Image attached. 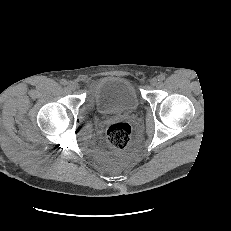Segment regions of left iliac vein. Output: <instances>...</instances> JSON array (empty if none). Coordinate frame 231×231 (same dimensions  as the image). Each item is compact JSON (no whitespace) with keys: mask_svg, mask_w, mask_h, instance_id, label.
Returning <instances> with one entry per match:
<instances>
[{"mask_svg":"<svg viewBox=\"0 0 231 231\" xmlns=\"http://www.w3.org/2000/svg\"><path fill=\"white\" fill-rule=\"evenodd\" d=\"M158 84V79L157 78H152L151 80H150V85L151 86H156Z\"/></svg>","mask_w":231,"mask_h":231,"instance_id":"1","label":"left iliac vein"}]
</instances>
